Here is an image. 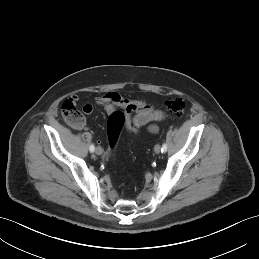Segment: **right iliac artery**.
Here are the masks:
<instances>
[{"mask_svg":"<svg viewBox=\"0 0 259 259\" xmlns=\"http://www.w3.org/2000/svg\"><path fill=\"white\" fill-rule=\"evenodd\" d=\"M89 150H90V152H94L95 147H94V145H93V144H91V145H90Z\"/></svg>","mask_w":259,"mask_h":259,"instance_id":"82829eb1","label":"right iliac artery"}]
</instances>
